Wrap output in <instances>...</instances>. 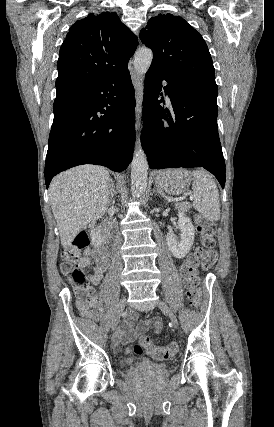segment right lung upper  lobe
<instances>
[{
    "instance_id": "obj_1",
    "label": "right lung upper lobe",
    "mask_w": 274,
    "mask_h": 427,
    "mask_svg": "<svg viewBox=\"0 0 274 427\" xmlns=\"http://www.w3.org/2000/svg\"><path fill=\"white\" fill-rule=\"evenodd\" d=\"M137 45V37L114 12L90 13L74 23L59 52L55 102L118 78L128 71Z\"/></svg>"
}]
</instances>
